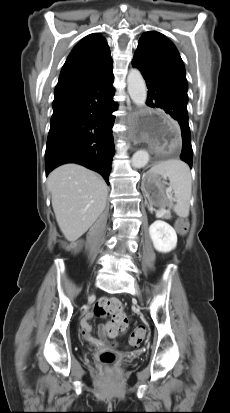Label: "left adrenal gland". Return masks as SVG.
Here are the masks:
<instances>
[{"label": "left adrenal gland", "mask_w": 230, "mask_h": 413, "mask_svg": "<svg viewBox=\"0 0 230 413\" xmlns=\"http://www.w3.org/2000/svg\"><path fill=\"white\" fill-rule=\"evenodd\" d=\"M147 206H148V209L152 212V210H151L150 206H149V205H147Z\"/></svg>", "instance_id": "left-adrenal-gland-1"}]
</instances>
